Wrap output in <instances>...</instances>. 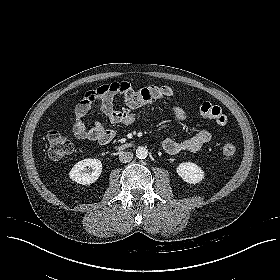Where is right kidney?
<instances>
[{"label": "right kidney", "instance_id": "1", "mask_svg": "<svg viewBox=\"0 0 280 280\" xmlns=\"http://www.w3.org/2000/svg\"><path fill=\"white\" fill-rule=\"evenodd\" d=\"M87 167H91L93 171L87 173ZM101 170L102 164L99 160L88 158L76 163L71 169L69 176L72 181L82 185H89L94 183L99 178Z\"/></svg>", "mask_w": 280, "mask_h": 280}]
</instances>
